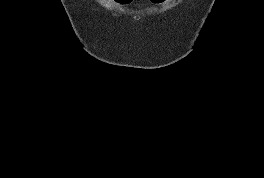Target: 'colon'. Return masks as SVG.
I'll list each match as a JSON object with an SVG mask.
<instances>
[{
	"label": "colon",
	"instance_id": "colon-1",
	"mask_svg": "<svg viewBox=\"0 0 264 178\" xmlns=\"http://www.w3.org/2000/svg\"><path fill=\"white\" fill-rule=\"evenodd\" d=\"M153 4L159 5L165 2V0H150ZM119 5H127L130 0H115Z\"/></svg>",
	"mask_w": 264,
	"mask_h": 178
}]
</instances>
